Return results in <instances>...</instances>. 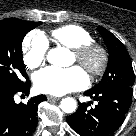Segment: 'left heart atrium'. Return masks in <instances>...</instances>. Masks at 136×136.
<instances>
[{"label":"left heart atrium","instance_id":"left-heart-atrium-1","mask_svg":"<svg viewBox=\"0 0 136 136\" xmlns=\"http://www.w3.org/2000/svg\"><path fill=\"white\" fill-rule=\"evenodd\" d=\"M88 84V77L78 66L70 68L47 67L34 75L37 91L51 95H63L83 89Z\"/></svg>","mask_w":136,"mask_h":136}]
</instances>
